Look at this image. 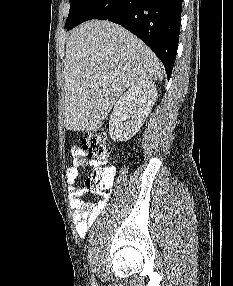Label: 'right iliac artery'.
Masks as SVG:
<instances>
[{"label": "right iliac artery", "instance_id": "right-iliac-artery-1", "mask_svg": "<svg viewBox=\"0 0 233 286\" xmlns=\"http://www.w3.org/2000/svg\"><path fill=\"white\" fill-rule=\"evenodd\" d=\"M92 284H93V286H95L94 284H95V282H94V280L92 279Z\"/></svg>", "mask_w": 233, "mask_h": 286}]
</instances>
